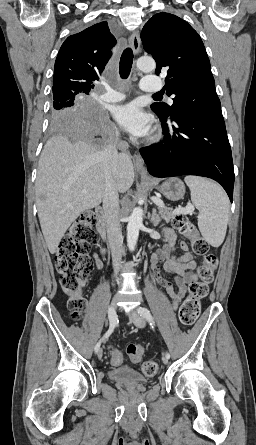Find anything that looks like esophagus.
I'll list each match as a JSON object with an SVG mask.
<instances>
[{"label": "esophagus", "instance_id": "obj_1", "mask_svg": "<svg viewBox=\"0 0 256 445\" xmlns=\"http://www.w3.org/2000/svg\"><path fill=\"white\" fill-rule=\"evenodd\" d=\"M129 43H130V46L133 49L134 53L138 54L140 51V37H139V33L137 31L132 32L130 39H129ZM133 161H134L135 168L139 172L146 173L144 160L139 153H136L134 155Z\"/></svg>", "mask_w": 256, "mask_h": 445}]
</instances>
